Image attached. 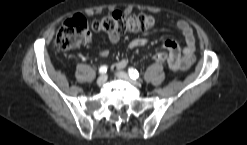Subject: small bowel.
Instances as JSON below:
<instances>
[{
	"instance_id": "1",
	"label": "small bowel",
	"mask_w": 247,
	"mask_h": 145,
	"mask_svg": "<svg viewBox=\"0 0 247 145\" xmlns=\"http://www.w3.org/2000/svg\"><path fill=\"white\" fill-rule=\"evenodd\" d=\"M178 30L181 32L185 40V46L181 50L176 41L172 39H167L164 41V47L167 50V54L158 53L154 56L156 62L162 63L156 59L157 56L165 54L167 56L166 62L168 63L169 68L172 71H186L188 70L195 62V35L190 27V25L184 21L179 20L176 24ZM108 39L112 43H117L120 40L118 34H109ZM148 44V39L145 37H136L132 39L129 43L131 49L141 48ZM101 57H107L109 51L102 49L99 51ZM128 64L127 59H122L112 65L113 71H119L125 68Z\"/></svg>"
}]
</instances>
